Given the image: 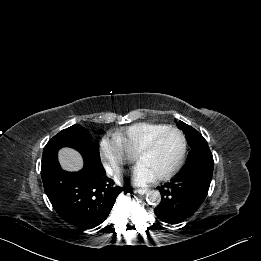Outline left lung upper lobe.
<instances>
[{
    "mask_svg": "<svg viewBox=\"0 0 261 261\" xmlns=\"http://www.w3.org/2000/svg\"><path fill=\"white\" fill-rule=\"evenodd\" d=\"M178 127L183 130V132L186 135V139L188 142V145L191 148V151L189 152L187 156V160L191 157L193 152H195L197 149L207 145V141L203 138V136L195 130L193 127L187 125L186 123L180 121L178 124Z\"/></svg>",
    "mask_w": 261,
    "mask_h": 261,
    "instance_id": "5c2ea615",
    "label": "left lung upper lobe"
}]
</instances>
